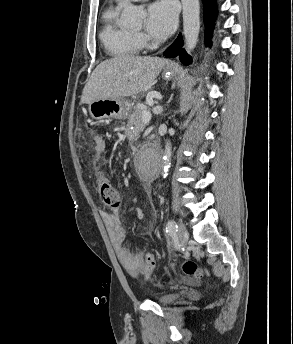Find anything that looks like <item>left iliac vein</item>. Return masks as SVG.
Listing matches in <instances>:
<instances>
[{
  "mask_svg": "<svg viewBox=\"0 0 293 344\" xmlns=\"http://www.w3.org/2000/svg\"><path fill=\"white\" fill-rule=\"evenodd\" d=\"M178 242L185 247L189 239V233L185 225L181 222L177 231Z\"/></svg>",
  "mask_w": 293,
  "mask_h": 344,
  "instance_id": "1",
  "label": "left iliac vein"
}]
</instances>
